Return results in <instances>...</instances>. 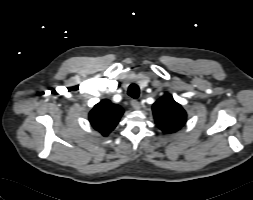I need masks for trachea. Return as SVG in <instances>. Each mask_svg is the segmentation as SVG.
<instances>
[{"instance_id": "1", "label": "trachea", "mask_w": 253, "mask_h": 200, "mask_svg": "<svg viewBox=\"0 0 253 200\" xmlns=\"http://www.w3.org/2000/svg\"><path fill=\"white\" fill-rule=\"evenodd\" d=\"M140 94V89L138 85L136 84H131L128 88V95L131 96L132 98L136 99L139 97Z\"/></svg>"}]
</instances>
